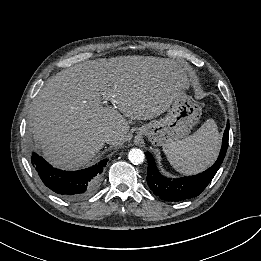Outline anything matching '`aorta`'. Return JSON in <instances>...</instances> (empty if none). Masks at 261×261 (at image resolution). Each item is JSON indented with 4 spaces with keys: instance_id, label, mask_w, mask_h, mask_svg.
I'll list each match as a JSON object with an SVG mask.
<instances>
[{
    "instance_id": "1",
    "label": "aorta",
    "mask_w": 261,
    "mask_h": 261,
    "mask_svg": "<svg viewBox=\"0 0 261 261\" xmlns=\"http://www.w3.org/2000/svg\"><path fill=\"white\" fill-rule=\"evenodd\" d=\"M128 159L132 164L138 165L143 163L145 155L141 149L133 148L128 153Z\"/></svg>"
}]
</instances>
